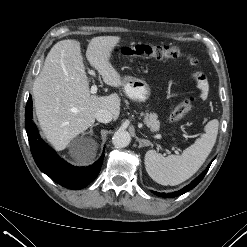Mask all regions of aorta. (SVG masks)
<instances>
[{
  "label": "aorta",
  "mask_w": 247,
  "mask_h": 247,
  "mask_svg": "<svg viewBox=\"0 0 247 247\" xmlns=\"http://www.w3.org/2000/svg\"><path fill=\"white\" fill-rule=\"evenodd\" d=\"M131 142V136L126 130H118L112 137V143L116 148L127 147Z\"/></svg>",
  "instance_id": "1"
}]
</instances>
